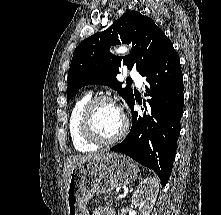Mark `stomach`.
<instances>
[{"instance_id": "obj_1", "label": "stomach", "mask_w": 221, "mask_h": 215, "mask_svg": "<svg viewBox=\"0 0 221 215\" xmlns=\"http://www.w3.org/2000/svg\"><path fill=\"white\" fill-rule=\"evenodd\" d=\"M138 172L131 159L114 152L76 164L66 186L68 215H88L86 205L95 194H107L132 183Z\"/></svg>"}]
</instances>
